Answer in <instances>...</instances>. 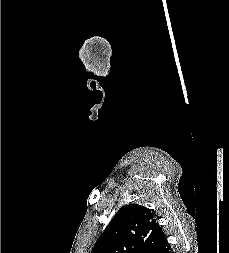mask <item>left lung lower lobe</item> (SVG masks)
Masks as SVG:
<instances>
[{
	"mask_svg": "<svg viewBox=\"0 0 229 253\" xmlns=\"http://www.w3.org/2000/svg\"><path fill=\"white\" fill-rule=\"evenodd\" d=\"M155 253H172L171 246L166 238L159 244Z\"/></svg>",
	"mask_w": 229,
	"mask_h": 253,
	"instance_id": "0a47b994",
	"label": "left lung lower lobe"
}]
</instances>
